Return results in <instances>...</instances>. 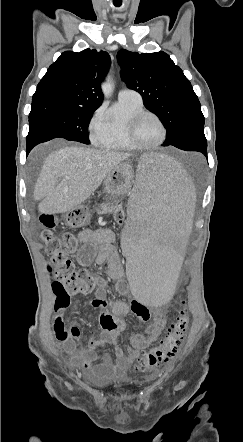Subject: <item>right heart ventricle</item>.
<instances>
[{"label": "right heart ventricle", "mask_w": 243, "mask_h": 442, "mask_svg": "<svg viewBox=\"0 0 243 442\" xmlns=\"http://www.w3.org/2000/svg\"><path fill=\"white\" fill-rule=\"evenodd\" d=\"M145 110L142 101L122 100L109 110L103 119L101 129L93 137V142L111 150L133 151L136 148L129 142L127 127L130 119Z\"/></svg>", "instance_id": "1"}]
</instances>
